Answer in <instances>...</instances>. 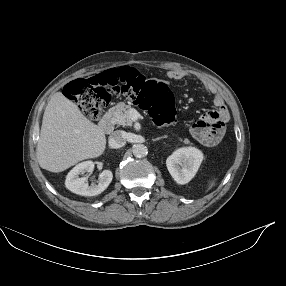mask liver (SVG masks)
<instances>
[{"mask_svg":"<svg viewBox=\"0 0 286 286\" xmlns=\"http://www.w3.org/2000/svg\"><path fill=\"white\" fill-rule=\"evenodd\" d=\"M105 148L103 129L88 120L62 92L53 94L43 115L37 145L40 167L62 172L82 160L99 157Z\"/></svg>","mask_w":286,"mask_h":286,"instance_id":"1","label":"liver"}]
</instances>
